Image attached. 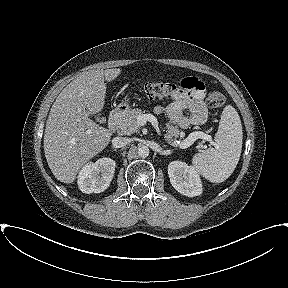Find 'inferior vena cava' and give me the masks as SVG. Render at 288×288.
I'll return each instance as SVG.
<instances>
[{
  "label": "inferior vena cava",
  "instance_id": "inferior-vena-cava-1",
  "mask_svg": "<svg viewBox=\"0 0 288 288\" xmlns=\"http://www.w3.org/2000/svg\"><path fill=\"white\" fill-rule=\"evenodd\" d=\"M131 142L130 138L127 137H115L112 140V144L116 147H125Z\"/></svg>",
  "mask_w": 288,
  "mask_h": 288
}]
</instances>
